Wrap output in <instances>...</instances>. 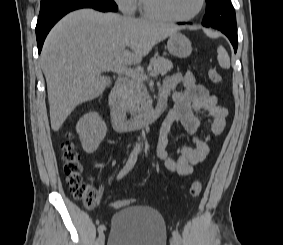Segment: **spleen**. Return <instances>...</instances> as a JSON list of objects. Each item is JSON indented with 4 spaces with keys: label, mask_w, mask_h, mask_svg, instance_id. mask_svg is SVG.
<instances>
[{
    "label": "spleen",
    "mask_w": 283,
    "mask_h": 245,
    "mask_svg": "<svg viewBox=\"0 0 283 245\" xmlns=\"http://www.w3.org/2000/svg\"><path fill=\"white\" fill-rule=\"evenodd\" d=\"M218 53V62L219 65L224 68V69H229L230 68V58L223 46H219L217 49Z\"/></svg>",
    "instance_id": "spleen-1"
}]
</instances>
